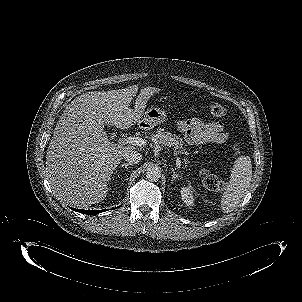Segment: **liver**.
<instances>
[{"instance_id": "1", "label": "liver", "mask_w": 302, "mask_h": 302, "mask_svg": "<svg viewBox=\"0 0 302 302\" xmlns=\"http://www.w3.org/2000/svg\"><path fill=\"white\" fill-rule=\"evenodd\" d=\"M146 93L141 91L134 109L129 107L136 94L133 87L86 92L67 105L46 155L49 181L67 203L86 207L107 196V183L123 153L135 147L111 143L104 125L128 129L139 124Z\"/></svg>"}]
</instances>
